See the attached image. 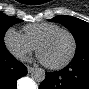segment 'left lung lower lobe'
<instances>
[{
	"mask_svg": "<svg viewBox=\"0 0 89 89\" xmlns=\"http://www.w3.org/2000/svg\"><path fill=\"white\" fill-rule=\"evenodd\" d=\"M40 89H89V51L75 54L63 70L46 73Z\"/></svg>",
	"mask_w": 89,
	"mask_h": 89,
	"instance_id": "obj_1",
	"label": "left lung lower lobe"
}]
</instances>
